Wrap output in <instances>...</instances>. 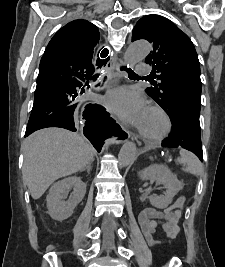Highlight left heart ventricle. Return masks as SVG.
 Masks as SVG:
<instances>
[{"label":"left heart ventricle","mask_w":225,"mask_h":267,"mask_svg":"<svg viewBox=\"0 0 225 267\" xmlns=\"http://www.w3.org/2000/svg\"><path fill=\"white\" fill-rule=\"evenodd\" d=\"M139 128L147 135H156L163 130L164 120L156 111L147 109Z\"/></svg>","instance_id":"obj_1"}]
</instances>
